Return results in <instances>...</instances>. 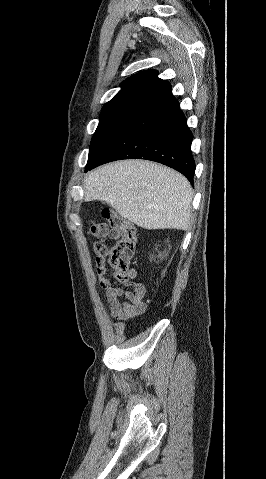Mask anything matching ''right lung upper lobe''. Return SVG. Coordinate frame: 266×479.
<instances>
[{"label": "right lung upper lobe", "instance_id": "1", "mask_svg": "<svg viewBox=\"0 0 266 479\" xmlns=\"http://www.w3.org/2000/svg\"><path fill=\"white\" fill-rule=\"evenodd\" d=\"M156 70L141 71L122 82V89L106 103L101 114L140 112L160 97L172 91L168 81L157 77Z\"/></svg>", "mask_w": 266, "mask_h": 479}]
</instances>
